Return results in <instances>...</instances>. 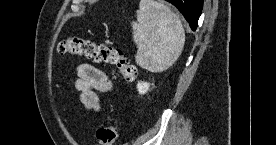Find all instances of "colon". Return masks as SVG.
I'll use <instances>...</instances> for the list:
<instances>
[{"mask_svg": "<svg viewBox=\"0 0 276 145\" xmlns=\"http://www.w3.org/2000/svg\"><path fill=\"white\" fill-rule=\"evenodd\" d=\"M58 52L85 56L96 63L113 65L127 81H133L137 75L136 66L121 49L90 39L78 36L66 38L59 43ZM96 137L98 145H114L119 137V127L116 124L100 126L97 129Z\"/></svg>", "mask_w": 276, "mask_h": 145, "instance_id": "obj_1", "label": "colon"}]
</instances>
